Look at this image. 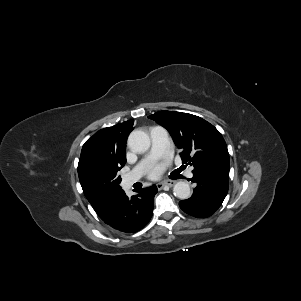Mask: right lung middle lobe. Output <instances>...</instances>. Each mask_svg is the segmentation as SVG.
<instances>
[{
    "instance_id": "dd1d6c3e",
    "label": "right lung middle lobe",
    "mask_w": 301,
    "mask_h": 301,
    "mask_svg": "<svg viewBox=\"0 0 301 301\" xmlns=\"http://www.w3.org/2000/svg\"><path fill=\"white\" fill-rule=\"evenodd\" d=\"M125 163L100 158L88 159L78 167L83 192L92 205L113 204L122 192L118 171Z\"/></svg>"
}]
</instances>
